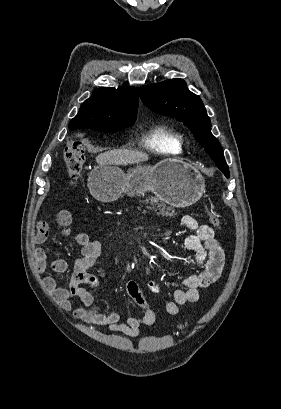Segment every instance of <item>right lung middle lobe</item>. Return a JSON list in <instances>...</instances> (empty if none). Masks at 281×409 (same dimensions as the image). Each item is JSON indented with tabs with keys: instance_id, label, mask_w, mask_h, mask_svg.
Here are the masks:
<instances>
[{
	"instance_id": "1",
	"label": "right lung middle lobe",
	"mask_w": 281,
	"mask_h": 409,
	"mask_svg": "<svg viewBox=\"0 0 281 409\" xmlns=\"http://www.w3.org/2000/svg\"><path fill=\"white\" fill-rule=\"evenodd\" d=\"M129 126H131V125L114 126V127L89 126V127H85V128H89V129H93V130L101 131V132H115V131L125 129V128L129 127Z\"/></svg>"
}]
</instances>
